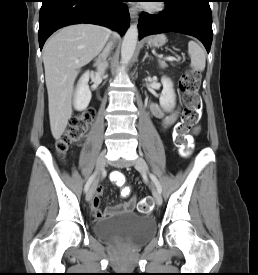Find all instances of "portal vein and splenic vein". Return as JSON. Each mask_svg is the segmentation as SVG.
<instances>
[{"label":"portal vein and splenic vein","instance_id":"obj_1","mask_svg":"<svg viewBox=\"0 0 258 275\" xmlns=\"http://www.w3.org/2000/svg\"><path fill=\"white\" fill-rule=\"evenodd\" d=\"M165 59L168 60V61H174V60H176V58L173 57V56H168Z\"/></svg>","mask_w":258,"mask_h":275}]
</instances>
